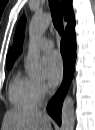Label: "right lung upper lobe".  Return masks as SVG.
I'll list each match as a JSON object with an SVG mask.
<instances>
[{
	"label": "right lung upper lobe",
	"instance_id": "right-lung-upper-lobe-1",
	"mask_svg": "<svg viewBox=\"0 0 95 130\" xmlns=\"http://www.w3.org/2000/svg\"><path fill=\"white\" fill-rule=\"evenodd\" d=\"M60 3L64 13V19L68 21L66 31L71 30L75 26L72 0H60ZM13 62H14V55L12 50L10 49L7 55V63H6L7 68H10Z\"/></svg>",
	"mask_w": 95,
	"mask_h": 130
}]
</instances>
